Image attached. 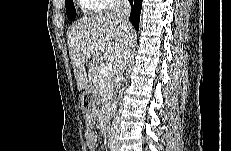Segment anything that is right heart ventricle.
I'll return each mask as SVG.
<instances>
[{
  "label": "right heart ventricle",
  "instance_id": "right-heart-ventricle-1",
  "mask_svg": "<svg viewBox=\"0 0 231 151\" xmlns=\"http://www.w3.org/2000/svg\"><path fill=\"white\" fill-rule=\"evenodd\" d=\"M84 6L87 10L89 11H99L98 7L96 4L94 3H90V2H85Z\"/></svg>",
  "mask_w": 231,
  "mask_h": 151
}]
</instances>
